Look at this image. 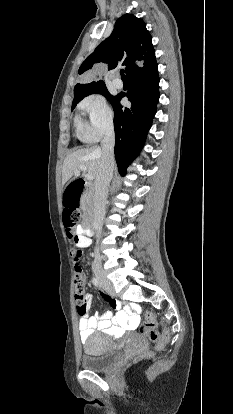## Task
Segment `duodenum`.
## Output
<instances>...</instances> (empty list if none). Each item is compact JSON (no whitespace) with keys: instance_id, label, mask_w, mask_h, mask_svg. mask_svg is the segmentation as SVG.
Listing matches in <instances>:
<instances>
[{"instance_id":"410a0bca","label":"duodenum","mask_w":233,"mask_h":414,"mask_svg":"<svg viewBox=\"0 0 233 414\" xmlns=\"http://www.w3.org/2000/svg\"><path fill=\"white\" fill-rule=\"evenodd\" d=\"M87 183L82 179L73 178L70 180V183L66 186L64 193L66 194L65 201H63V206H65L66 211L75 212L80 201L81 194L85 195L86 200L92 199V190L86 189ZM93 204H88L85 211L82 213V218L85 220L83 227L89 233H94V227L92 224L93 221Z\"/></svg>"}]
</instances>
